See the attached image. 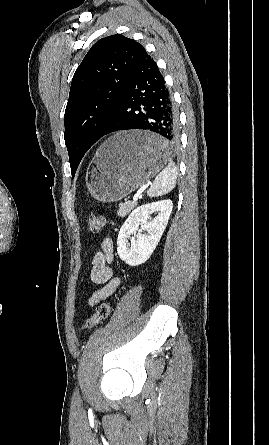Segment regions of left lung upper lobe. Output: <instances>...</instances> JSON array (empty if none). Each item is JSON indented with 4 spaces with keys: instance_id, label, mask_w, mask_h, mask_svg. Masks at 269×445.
<instances>
[{
    "instance_id": "1",
    "label": "left lung upper lobe",
    "mask_w": 269,
    "mask_h": 445,
    "mask_svg": "<svg viewBox=\"0 0 269 445\" xmlns=\"http://www.w3.org/2000/svg\"><path fill=\"white\" fill-rule=\"evenodd\" d=\"M144 53L141 44L115 34L97 41L77 68L64 116L72 177L85 153L114 119L121 95Z\"/></svg>"
}]
</instances>
